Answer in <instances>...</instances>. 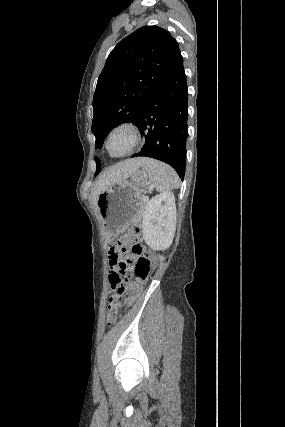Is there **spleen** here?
Segmentation results:
<instances>
[{
  "label": "spleen",
  "instance_id": "spleen-1",
  "mask_svg": "<svg viewBox=\"0 0 285 427\" xmlns=\"http://www.w3.org/2000/svg\"><path fill=\"white\" fill-rule=\"evenodd\" d=\"M148 174L152 186L161 193H166L180 186L177 173L169 165L154 159H146L142 165Z\"/></svg>",
  "mask_w": 285,
  "mask_h": 427
}]
</instances>
